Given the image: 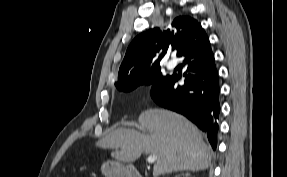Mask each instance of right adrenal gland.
<instances>
[{"label": "right adrenal gland", "mask_w": 287, "mask_h": 177, "mask_svg": "<svg viewBox=\"0 0 287 177\" xmlns=\"http://www.w3.org/2000/svg\"><path fill=\"white\" fill-rule=\"evenodd\" d=\"M185 176L188 177V176H189V173H186ZM175 177H180V175H177V176H175Z\"/></svg>", "instance_id": "obj_1"}]
</instances>
